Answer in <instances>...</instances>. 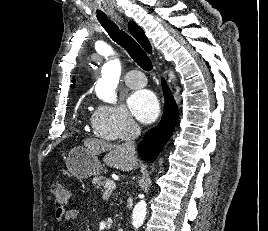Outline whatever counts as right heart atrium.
Masks as SVG:
<instances>
[{"label": "right heart atrium", "instance_id": "d8ad5b80", "mask_svg": "<svg viewBox=\"0 0 268 231\" xmlns=\"http://www.w3.org/2000/svg\"><path fill=\"white\" fill-rule=\"evenodd\" d=\"M93 133L107 141H119L130 138L137 127L126 109L121 105L98 104L91 116Z\"/></svg>", "mask_w": 268, "mask_h": 231}]
</instances>
